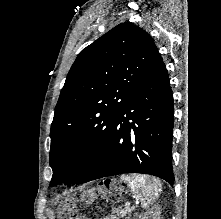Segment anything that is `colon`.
I'll return each mask as SVG.
<instances>
[{
    "label": "colon",
    "mask_w": 221,
    "mask_h": 219,
    "mask_svg": "<svg viewBox=\"0 0 221 219\" xmlns=\"http://www.w3.org/2000/svg\"><path fill=\"white\" fill-rule=\"evenodd\" d=\"M64 219H85V218H84V216H82L81 214H79L73 210H67L65 212Z\"/></svg>",
    "instance_id": "obj_1"
}]
</instances>
